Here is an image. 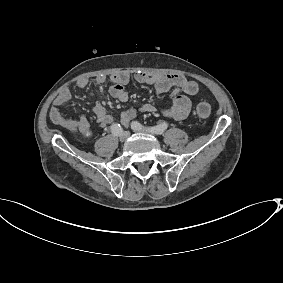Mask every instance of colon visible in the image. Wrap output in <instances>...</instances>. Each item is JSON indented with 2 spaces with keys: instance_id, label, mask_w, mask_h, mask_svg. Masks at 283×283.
Listing matches in <instances>:
<instances>
[{
  "instance_id": "5ec220e1",
  "label": "colon",
  "mask_w": 283,
  "mask_h": 283,
  "mask_svg": "<svg viewBox=\"0 0 283 283\" xmlns=\"http://www.w3.org/2000/svg\"><path fill=\"white\" fill-rule=\"evenodd\" d=\"M211 113V106L208 102L203 101L196 107V114L200 118H207Z\"/></svg>"
}]
</instances>
